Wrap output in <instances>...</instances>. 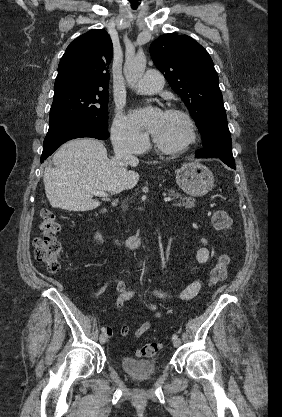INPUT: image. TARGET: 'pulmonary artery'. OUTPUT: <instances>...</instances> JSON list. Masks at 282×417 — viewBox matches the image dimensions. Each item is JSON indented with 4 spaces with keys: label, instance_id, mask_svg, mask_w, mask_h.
Instances as JSON below:
<instances>
[{
    "label": "pulmonary artery",
    "instance_id": "e3ab8cb5",
    "mask_svg": "<svg viewBox=\"0 0 282 417\" xmlns=\"http://www.w3.org/2000/svg\"><path fill=\"white\" fill-rule=\"evenodd\" d=\"M163 86L164 78L158 70H147L134 89L141 94H154L162 90Z\"/></svg>",
    "mask_w": 282,
    "mask_h": 417
}]
</instances>
